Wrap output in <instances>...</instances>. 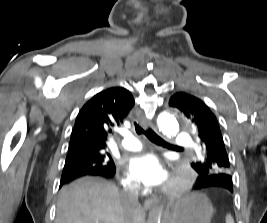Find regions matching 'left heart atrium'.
<instances>
[{"mask_svg":"<svg viewBox=\"0 0 267 223\" xmlns=\"http://www.w3.org/2000/svg\"><path fill=\"white\" fill-rule=\"evenodd\" d=\"M129 171L132 176L147 187L166 184L169 173L162 159L155 154H140L131 158Z\"/></svg>","mask_w":267,"mask_h":223,"instance_id":"obj_1","label":"left heart atrium"}]
</instances>
